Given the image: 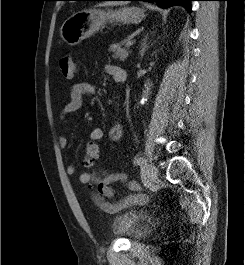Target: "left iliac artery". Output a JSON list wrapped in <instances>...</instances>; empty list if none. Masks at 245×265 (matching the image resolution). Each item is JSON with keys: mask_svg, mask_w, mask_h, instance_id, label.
I'll return each mask as SVG.
<instances>
[{"mask_svg": "<svg viewBox=\"0 0 245 265\" xmlns=\"http://www.w3.org/2000/svg\"><path fill=\"white\" fill-rule=\"evenodd\" d=\"M134 163L142 166L145 163V159L143 157H139L135 159Z\"/></svg>", "mask_w": 245, "mask_h": 265, "instance_id": "left-iliac-artery-1", "label": "left iliac artery"}]
</instances>
